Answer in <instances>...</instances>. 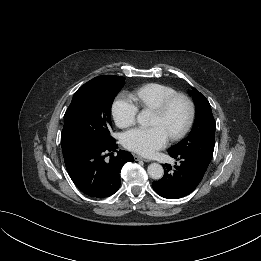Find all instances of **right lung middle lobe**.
Listing matches in <instances>:
<instances>
[{"mask_svg": "<svg viewBox=\"0 0 261 261\" xmlns=\"http://www.w3.org/2000/svg\"><path fill=\"white\" fill-rule=\"evenodd\" d=\"M124 84L122 76L95 77L76 91L64 115L61 134L63 154L114 140L110 110L114 97Z\"/></svg>", "mask_w": 261, "mask_h": 261, "instance_id": "obj_1", "label": "right lung middle lobe"}]
</instances>
